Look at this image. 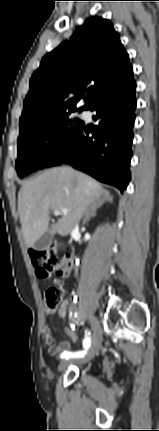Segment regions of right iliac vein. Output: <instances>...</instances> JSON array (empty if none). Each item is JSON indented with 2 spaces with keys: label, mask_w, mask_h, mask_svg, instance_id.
<instances>
[{
  "label": "right iliac vein",
  "mask_w": 159,
  "mask_h": 431,
  "mask_svg": "<svg viewBox=\"0 0 159 431\" xmlns=\"http://www.w3.org/2000/svg\"><path fill=\"white\" fill-rule=\"evenodd\" d=\"M89 322L92 329V344L87 354L84 357H82L80 360H78L76 362L77 364H85L89 362L91 359L94 358V356L97 354L101 346L102 336H101V329H100L99 322L97 318L92 314L89 315ZM71 363L73 362L68 359L62 360L58 366V370L59 371L65 370Z\"/></svg>",
  "instance_id": "obj_1"
}]
</instances>
